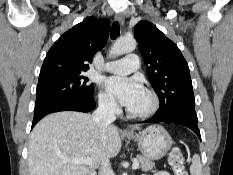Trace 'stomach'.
Here are the masks:
<instances>
[{
  "instance_id": "1",
  "label": "stomach",
  "mask_w": 233,
  "mask_h": 175,
  "mask_svg": "<svg viewBox=\"0 0 233 175\" xmlns=\"http://www.w3.org/2000/svg\"><path fill=\"white\" fill-rule=\"evenodd\" d=\"M127 137L137 141L143 156L150 160L163 158L173 144L169 133L160 125L148 126L138 134Z\"/></svg>"
}]
</instances>
